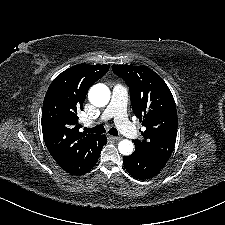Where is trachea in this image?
Segmentation results:
<instances>
[{
	"label": "trachea",
	"mask_w": 225,
	"mask_h": 225,
	"mask_svg": "<svg viewBox=\"0 0 225 225\" xmlns=\"http://www.w3.org/2000/svg\"><path fill=\"white\" fill-rule=\"evenodd\" d=\"M84 130L86 132H89V133H97V134H102V133L105 132V128H104L103 125H98V126H95L93 128H84ZM109 134L113 135V136H117L118 135V131H117L116 128L113 127V128H111L109 130Z\"/></svg>",
	"instance_id": "trachea-1"
}]
</instances>
